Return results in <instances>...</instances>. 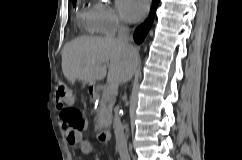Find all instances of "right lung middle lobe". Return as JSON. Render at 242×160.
<instances>
[{"label":"right lung middle lobe","mask_w":242,"mask_h":160,"mask_svg":"<svg viewBox=\"0 0 242 160\" xmlns=\"http://www.w3.org/2000/svg\"><path fill=\"white\" fill-rule=\"evenodd\" d=\"M73 4H75V0H73Z\"/></svg>","instance_id":"obj_1"}]
</instances>
